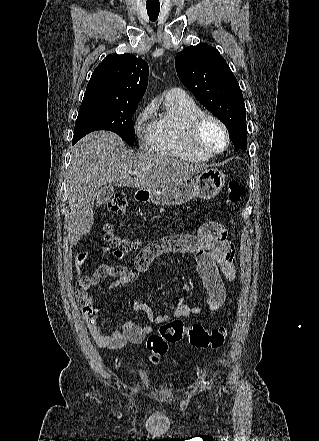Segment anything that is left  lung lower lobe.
I'll list each match as a JSON object with an SVG mask.
<instances>
[{
    "label": "left lung lower lobe",
    "mask_w": 319,
    "mask_h": 441,
    "mask_svg": "<svg viewBox=\"0 0 319 441\" xmlns=\"http://www.w3.org/2000/svg\"><path fill=\"white\" fill-rule=\"evenodd\" d=\"M234 146L236 147V143L233 141Z\"/></svg>",
    "instance_id": "1"
}]
</instances>
